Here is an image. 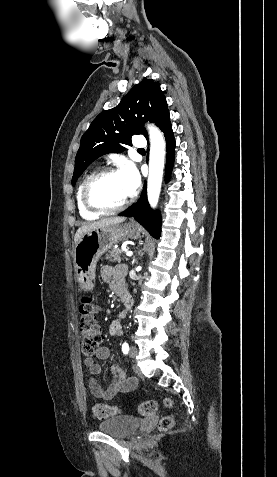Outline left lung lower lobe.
I'll list each match as a JSON object with an SVG mask.
<instances>
[{
	"label": "left lung lower lobe",
	"instance_id": "0a47b994",
	"mask_svg": "<svg viewBox=\"0 0 277 477\" xmlns=\"http://www.w3.org/2000/svg\"><path fill=\"white\" fill-rule=\"evenodd\" d=\"M162 132L165 135L167 142V157H166V181L169 180L173 162H174V150H175V139L172 131L171 122H167L162 128ZM119 216L134 217L146 230L150 232L155 238H159L161 234V220L160 215L157 212H154L148 203L147 194H146V184L142 195L137 204L130 207L128 210L119 214Z\"/></svg>",
	"mask_w": 277,
	"mask_h": 477
}]
</instances>
